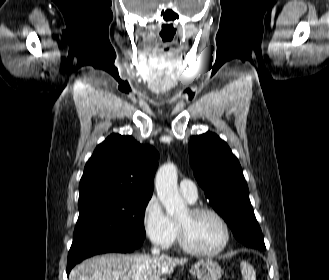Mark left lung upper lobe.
Wrapping results in <instances>:
<instances>
[{
	"mask_svg": "<svg viewBox=\"0 0 329 280\" xmlns=\"http://www.w3.org/2000/svg\"><path fill=\"white\" fill-rule=\"evenodd\" d=\"M189 154L194 175L209 203L227 221L237 240L266 249L241 166L226 142L211 132L193 136Z\"/></svg>",
	"mask_w": 329,
	"mask_h": 280,
	"instance_id": "1",
	"label": "left lung upper lobe"
}]
</instances>
